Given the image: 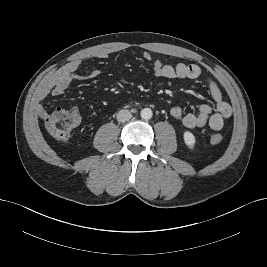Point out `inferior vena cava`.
Here are the masks:
<instances>
[{
	"mask_svg": "<svg viewBox=\"0 0 267 267\" xmlns=\"http://www.w3.org/2000/svg\"><path fill=\"white\" fill-rule=\"evenodd\" d=\"M132 114L129 110L122 109L117 113V121L126 122L131 119Z\"/></svg>",
	"mask_w": 267,
	"mask_h": 267,
	"instance_id": "obj_1",
	"label": "inferior vena cava"
}]
</instances>
